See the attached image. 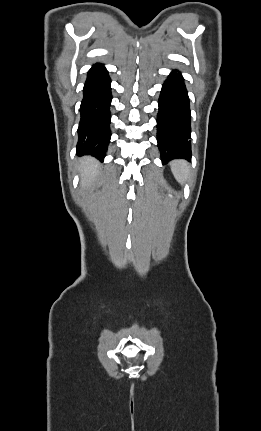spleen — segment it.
Returning <instances> with one entry per match:
<instances>
[{
    "label": "spleen",
    "mask_w": 261,
    "mask_h": 431,
    "mask_svg": "<svg viewBox=\"0 0 261 431\" xmlns=\"http://www.w3.org/2000/svg\"><path fill=\"white\" fill-rule=\"evenodd\" d=\"M171 170L179 183H183L189 175V167L183 160H176L171 163Z\"/></svg>",
    "instance_id": "3e777b00"
}]
</instances>
